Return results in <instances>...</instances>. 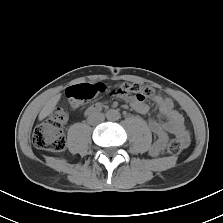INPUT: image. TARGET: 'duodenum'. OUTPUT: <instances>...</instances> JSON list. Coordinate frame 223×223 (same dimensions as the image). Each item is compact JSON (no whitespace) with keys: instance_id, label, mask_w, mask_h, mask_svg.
I'll list each match as a JSON object with an SVG mask.
<instances>
[{"instance_id":"duodenum-1","label":"duodenum","mask_w":223,"mask_h":223,"mask_svg":"<svg viewBox=\"0 0 223 223\" xmlns=\"http://www.w3.org/2000/svg\"><path fill=\"white\" fill-rule=\"evenodd\" d=\"M92 113H95V111L91 110V111L88 112V114H92Z\"/></svg>"}]
</instances>
